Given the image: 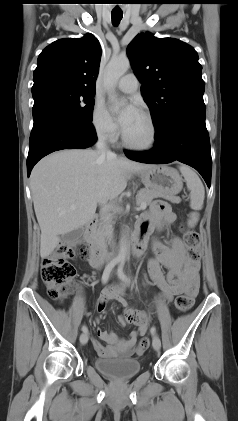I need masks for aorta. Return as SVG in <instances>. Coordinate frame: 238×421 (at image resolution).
I'll return each mask as SVG.
<instances>
[{"label":"aorta","mask_w":238,"mask_h":421,"mask_svg":"<svg viewBox=\"0 0 238 421\" xmlns=\"http://www.w3.org/2000/svg\"><path fill=\"white\" fill-rule=\"evenodd\" d=\"M130 62L127 58H113L110 60L106 67V74L104 83L109 99L115 100V85L118 80L128 71ZM128 252V242L126 235H123L120 240V248L117 260L124 263Z\"/></svg>","instance_id":"obj_1"}]
</instances>
